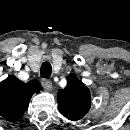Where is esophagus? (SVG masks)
<instances>
[{
  "mask_svg": "<svg viewBox=\"0 0 130 130\" xmlns=\"http://www.w3.org/2000/svg\"><path fill=\"white\" fill-rule=\"evenodd\" d=\"M42 85L46 89H51L52 88V82L49 79H42Z\"/></svg>",
  "mask_w": 130,
  "mask_h": 130,
  "instance_id": "1",
  "label": "esophagus"
}]
</instances>
